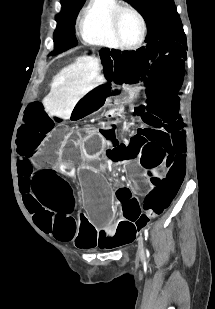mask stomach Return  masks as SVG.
<instances>
[{
    "mask_svg": "<svg viewBox=\"0 0 215 309\" xmlns=\"http://www.w3.org/2000/svg\"><path fill=\"white\" fill-rule=\"evenodd\" d=\"M132 94H133V92H132V91H130V92H129V95H132Z\"/></svg>",
    "mask_w": 215,
    "mask_h": 309,
    "instance_id": "obj_1",
    "label": "stomach"
}]
</instances>
